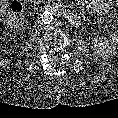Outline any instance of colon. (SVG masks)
Returning a JSON list of instances; mask_svg holds the SVG:
<instances>
[{"label":"colon","mask_w":118,"mask_h":118,"mask_svg":"<svg viewBox=\"0 0 118 118\" xmlns=\"http://www.w3.org/2000/svg\"><path fill=\"white\" fill-rule=\"evenodd\" d=\"M118 6V0H117ZM22 5L19 1H13L6 12L4 23L6 26L15 27L21 22Z\"/></svg>","instance_id":"5ec220e1"}]
</instances>
